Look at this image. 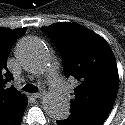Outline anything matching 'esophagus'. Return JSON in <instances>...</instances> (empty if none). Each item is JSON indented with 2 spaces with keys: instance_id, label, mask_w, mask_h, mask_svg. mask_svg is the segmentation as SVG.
Returning a JSON list of instances; mask_svg holds the SVG:
<instances>
[{
  "instance_id": "1",
  "label": "esophagus",
  "mask_w": 125,
  "mask_h": 125,
  "mask_svg": "<svg viewBox=\"0 0 125 125\" xmlns=\"http://www.w3.org/2000/svg\"><path fill=\"white\" fill-rule=\"evenodd\" d=\"M44 95V93L40 92V93H33L32 96L34 98H41Z\"/></svg>"
}]
</instances>
